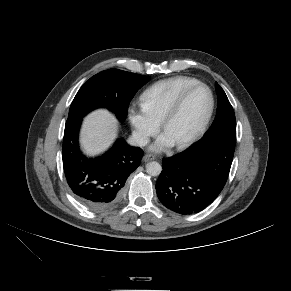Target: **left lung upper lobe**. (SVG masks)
I'll return each instance as SVG.
<instances>
[{"instance_id":"5c2ea615","label":"left lung upper lobe","mask_w":291,"mask_h":291,"mask_svg":"<svg viewBox=\"0 0 291 291\" xmlns=\"http://www.w3.org/2000/svg\"><path fill=\"white\" fill-rule=\"evenodd\" d=\"M215 86L218 97L216 118L211 128L204 135V139L224 133L236 135L234 110L220 85L216 82Z\"/></svg>"}]
</instances>
